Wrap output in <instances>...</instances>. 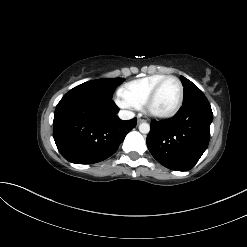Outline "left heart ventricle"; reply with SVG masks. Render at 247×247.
<instances>
[{"instance_id":"obj_1","label":"left heart ventricle","mask_w":247,"mask_h":247,"mask_svg":"<svg viewBox=\"0 0 247 247\" xmlns=\"http://www.w3.org/2000/svg\"><path fill=\"white\" fill-rule=\"evenodd\" d=\"M178 100L179 85L175 80L169 79L160 88L150 109L154 113L164 114L170 112L176 106Z\"/></svg>"}]
</instances>
